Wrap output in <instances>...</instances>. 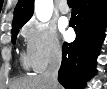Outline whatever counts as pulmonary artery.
<instances>
[{
  "mask_svg": "<svg viewBox=\"0 0 107 89\" xmlns=\"http://www.w3.org/2000/svg\"><path fill=\"white\" fill-rule=\"evenodd\" d=\"M59 10H60L61 13H63V14H66V13L69 12V7H68V5L66 4L65 1H61V2L59 3Z\"/></svg>",
  "mask_w": 107,
  "mask_h": 89,
  "instance_id": "pulmonary-artery-1",
  "label": "pulmonary artery"
}]
</instances>
